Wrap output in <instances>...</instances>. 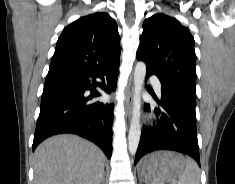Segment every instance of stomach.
Returning a JSON list of instances; mask_svg holds the SVG:
<instances>
[{
    "instance_id": "obj_1",
    "label": "stomach",
    "mask_w": 235,
    "mask_h": 184,
    "mask_svg": "<svg viewBox=\"0 0 235 184\" xmlns=\"http://www.w3.org/2000/svg\"><path fill=\"white\" fill-rule=\"evenodd\" d=\"M185 166V158L178 152H154L146 156L138 168V176L146 184H175Z\"/></svg>"
}]
</instances>
